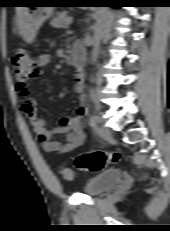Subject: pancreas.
<instances>
[{
	"label": "pancreas",
	"instance_id": "pancreas-1",
	"mask_svg": "<svg viewBox=\"0 0 170 231\" xmlns=\"http://www.w3.org/2000/svg\"><path fill=\"white\" fill-rule=\"evenodd\" d=\"M68 19L69 17L67 15V12L63 11L58 13V15L50 21V25L54 28H63L65 27Z\"/></svg>",
	"mask_w": 170,
	"mask_h": 231
}]
</instances>
